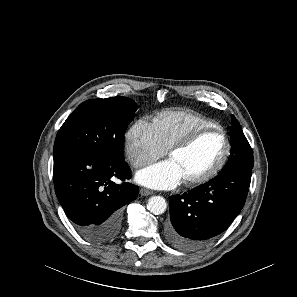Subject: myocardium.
<instances>
[{"instance_id": "obj_1", "label": "myocardium", "mask_w": 297, "mask_h": 297, "mask_svg": "<svg viewBox=\"0 0 297 297\" xmlns=\"http://www.w3.org/2000/svg\"><path fill=\"white\" fill-rule=\"evenodd\" d=\"M207 133H217L221 136L224 142V149L221 157L217 161V163L211 167L208 171L205 173L193 177V178H187L184 179V183L189 186H196L203 183H206L210 181L212 178H214L224 167L226 164L229 154H230V141L225 133V131L218 127V126H207V127H200L197 129H194L190 131L188 134H186L184 137H182L180 140H178L176 143H174L169 149H168V156L171 157L174 153L184 150L191 146L199 137H201L204 134Z\"/></svg>"}]
</instances>
